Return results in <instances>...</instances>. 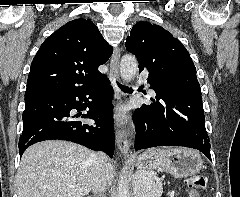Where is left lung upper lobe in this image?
I'll return each instance as SVG.
<instances>
[{
  "label": "left lung upper lobe",
  "mask_w": 240,
  "mask_h": 197,
  "mask_svg": "<svg viewBox=\"0 0 240 197\" xmlns=\"http://www.w3.org/2000/svg\"><path fill=\"white\" fill-rule=\"evenodd\" d=\"M125 46L136 55L140 72H149L148 82L157 100L185 90L201 93L188 51L163 27L138 22L131 29Z\"/></svg>",
  "instance_id": "5c2ea615"
}]
</instances>
